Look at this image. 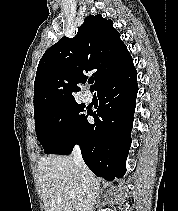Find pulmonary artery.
Masks as SVG:
<instances>
[{
  "instance_id": "1",
  "label": "pulmonary artery",
  "mask_w": 178,
  "mask_h": 211,
  "mask_svg": "<svg viewBox=\"0 0 178 211\" xmlns=\"http://www.w3.org/2000/svg\"><path fill=\"white\" fill-rule=\"evenodd\" d=\"M92 98H93L92 93L89 90H86L84 92V99H85V101L86 102H91L92 101Z\"/></svg>"
}]
</instances>
